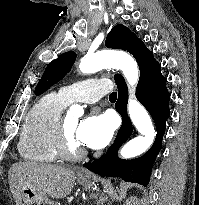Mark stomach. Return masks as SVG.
Instances as JSON below:
<instances>
[{"label":"stomach","mask_w":199,"mask_h":205,"mask_svg":"<svg viewBox=\"0 0 199 205\" xmlns=\"http://www.w3.org/2000/svg\"><path fill=\"white\" fill-rule=\"evenodd\" d=\"M79 183L85 187H91L93 180L86 177H79ZM22 199L25 205H54L42 191L29 184L23 186Z\"/></svg>","instance_id":"obj_1"}]
</instances>
